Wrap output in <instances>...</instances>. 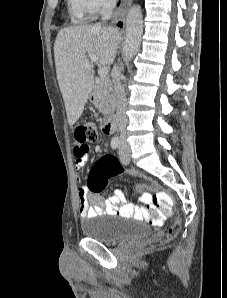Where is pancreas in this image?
<instances>
[{
    "label": "pancreas",
    "mask_w": 227,
    "mask_h": 298,
    "mask_svg": "<svg viewBox=\"0 0 227 298\" xmlns=\"http://www.w3.org/2000/svg\"><path fill=\"white\" fill-rule=\"evenodd\" d=\"M95 107L103 114L108 115L114 112L116 99L110 79H98L94 86Z\"/></svg>",
    "instance_id": "cf45deb5"
}]
</instances>
